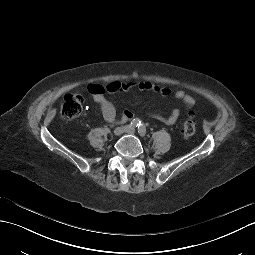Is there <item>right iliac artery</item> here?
Returning a JSON list of instances; mask_svg holds the SVG:
<instances>
[{
    "label": "right iliac artery",
    "instance_id": "right-iliac-artery-1",
    "mask_svg": "<svg viewBox=\"0 0 255 255\" xmlns=\"http://www.w3.org/2000/svg\"><path fill=\"white\" fill-rule=\"evenodd\" d=\"M141 124V121L139 119H133L129 125L131 128H137Z\"/></svg>",
    "mask_w": 255,
    "mask_h": 255
}]
</instances>
